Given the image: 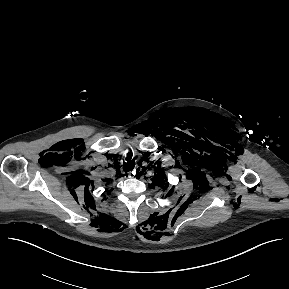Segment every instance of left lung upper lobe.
<instances>
[{
	"instance_id": "obj_1",
	"label": "left lung upper lobe",
	"mask_w": 289,
	"mask_h": 289,
	"mask_svg": "<svg viewBox=\"0 0 289 289\" xmlns=\"http://www.w3.org/2000/svg\"><path fill=\"white\" fill-rule=\"evenodd\" d=\"M154 183L157 185H162L163 182L166 180V176L164 175L163 171L161 170L155 177ZM172 192L169 191L168 195Z\"/></svg>"
}]
</instances>
